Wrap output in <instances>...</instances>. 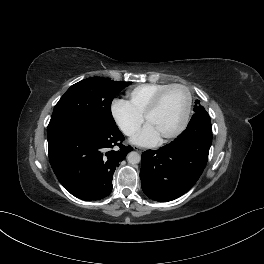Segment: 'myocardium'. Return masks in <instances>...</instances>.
Returning <instances> with one entry per match:
<instances>
[{
	"mask_svg": "<svg viewBox=\"0 0 264 264\" xmlns=\"http://www.w3.org/2000/svg\"><path fill=\"white\" fill-rule=\"evenodd\" d=\"M174 88H180L186 93V105H185L183 117H182L180 124L178 125V127L174 131H172L169 134L164 135L162 137L163 141H168V140H171V139L177 137L178 135H180L183 132V130L187 126V123H188L189 117H190L191 106H192V96H191V92L188 89V87H186L183 84H178V83L170 84V85L166 86L165 88H163L161 91H159L156 94V96L153 98V100L151 101V103L149 104V106L147 107V109L145 110L144 115H143L144 120L147 122L150 115L158 109V107L161 104L166 93L168 91H170L171 89H174Z\"/></svg>",
	"mask_w": 264,
	"mask_h": 264,
	"instance_id": "obj_1",
	"label": "myocardium"
}]
</instances>
